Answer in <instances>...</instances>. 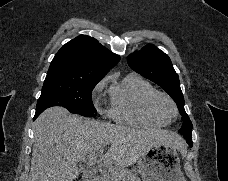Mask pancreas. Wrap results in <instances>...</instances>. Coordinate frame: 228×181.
I'll use <instances>...</instances> for the list:
<instances>
[{
    "label": "pancreas",
    "instance_id": "obj_1",
    "mask_svg": "<svg viewBox=\"0 0 228 181\" xmlns=\"http://www.w3.org/2000/svg\"><path fill=\"white\" fill-rule=\"evenodd\" d=\"M100 181H140L134 171L128 169H119V167H110L101 171Z\"/></svg>",
    "mask_w": 228,
    "mask_h": 181
}]
</instances>
